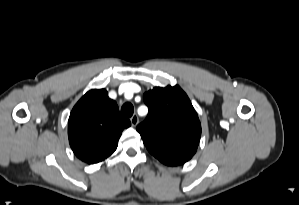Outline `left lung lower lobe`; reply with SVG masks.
Instances as JSON below:
<instances>
[{"instance_id":"1","label":"left lung lower lobe","mask_w":299,"mask_h":205,"mask_svg":"<svg viewBox=\"0 0 299 205\" xmlns=\"http://www.w3.org/2000/svg\"><path fill=\"white\" fill-rule=\"evenodd\" d=\"M147 149L154 157L168 166H178L187 162L197 150L195 147L182 145L148 147Z\"/></svg>"}]
</instances>
